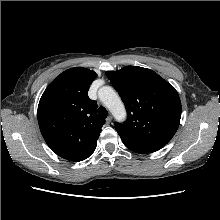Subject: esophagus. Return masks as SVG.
<instances>
[{
    "mask_svg": "<svg viewBox=\"0 0 220 220\" xmlns=\"http://www.w3.org/2000/svg\"><path fill=\"white\" fill-rule=\"evenodd\" d=\"M111 121H112V116L107 117L105 120L107 125H109L111 123Z\"/></svg>",
    "mask_w": 220,
    "mask_h": 220,
    "instance_id": "esophagus-1",
    "label": "esophagus"
}]
</instances>
